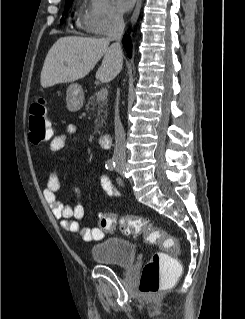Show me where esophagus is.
I'll list each match as a JSON object with an SVG mask.
<instances>
[{"instance_id": "esophagus-1", "label": "esophagus", "mask_w": 245, "mask_h": 319, "mask_svg": "<svg viewBox=\"0 0 245 319\" xmlns=\"http://www.w3.org/2000/svg\"><path fill=\"white\" fill-rule=\"evenodd\" d=\"M142 0H137L135 9L133 11L132 17H131V24L134 25L139 17L140 9H141Z\"/></svg>"}]
</instances>
